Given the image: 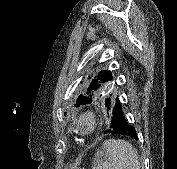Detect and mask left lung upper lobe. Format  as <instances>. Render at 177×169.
I'll return each instance as SVG.
<instances>
[{
	"instance_id": "obj_1",
	"label": "left lung upper lobe",
	"mask_w": 177,
	"mask_h": 169,
	"mask_svg": "<svg viewBox=\"0 0 177 169\" xmlns=\"http://www.w3.org/2000/svg\"><path fill=\"white\" fill-rule=\"evenodd\" d=\"M87 79L88 80L85 82L83 87V94L79 95L76 101V107L89 104L99 96H102V93L106 91L107 85L113 79V73L110 70L99 71L98 73H95V75L92 74ZM81 83L83 82L81 81ZM105 106L108 110H111L113 107V101L108 98L105 102Z\"/></svg>"
}]
</instances>
